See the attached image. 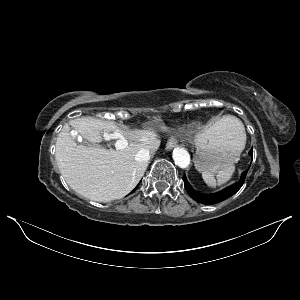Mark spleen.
<instances>
[{"instance_id":"3e777b00","label":"spleen","mask_w":300,"mask_h":300,"mask_svg":"<svg viewBox=\"0 0 300 300\" xmlns=\"http://www.w3.org/2000/svg\"><path fill=\"white\" fill-rule=\"evenodd\" d=\"M218 122L232 133L236 134L243 147H245V128L243 123L238 118L232 115H227L223 116ZM234 172L235 166L231 165L220 170L216 176L211 172L204 171L202 172V177L208 186L216 187L217 185H222L228 182L232 178Z\"/></svg>"}]
</instances>
